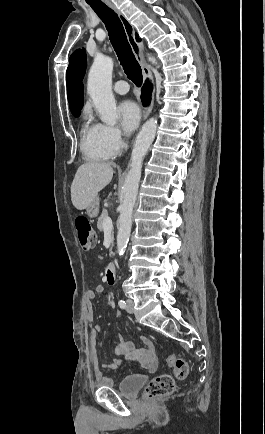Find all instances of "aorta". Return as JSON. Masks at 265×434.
Listing matches in <instances>:
<instances>
[{
	"label": "aorta",
	"mask_w": 265,
	"mask_h": 434,
	"mask_svg": "<svg viewBox=\"0 0 265 434\" xmlns=\"http://www.w3.org/2000/svg\"><path fill=\"white\" fill-rule=\"evenodd\" d=\"M151 64H158L155 58H148ZM159 68V66H158ZM113 60L109 56H95L90 68L87 82V92L101 116L102 122L107 126H116L118 112L112 92ZM157 132L156 118H150L143 124L139 132L131 156V168L125 178L123 202L119 206L120 216L117 220V252L123 256L131 234L132 212L136 202L138 184L141 178V168Z\"/></svg>",
	"instance_id": "aorta-1"
}]
</instances>
